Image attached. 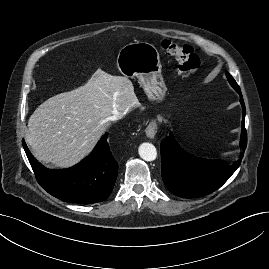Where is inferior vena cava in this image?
I'll return each mask as SVG.
<instances>
[{
    "label": "inferior vena cava",
    "instance_id": "obj_1",
    "mask_svg": "<svg viewBox=\"0 0 269 269\" xmlns=\"http://www.w3.org/2000/svg\"><path fill=\"white\" fill-rule=\"evenodd\" d=\"M125 114L123 113H115L114 115H112L109 120L111 121H116V120H119L121 119Z\"/></svg>",
    "mask_w": 269,
    "mask_h": 269
}]
</instances>
